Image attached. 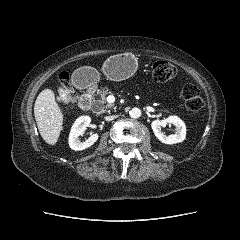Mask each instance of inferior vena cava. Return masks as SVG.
<instances>
[{
    "mask_svg": "<svg viewBox=\"0 0 240 240\" xmlns=\"http://www.w3.org/2000/svg\"><path fill=\"white\" fill-rule=\"evenodd\" d=\"M115 118H116L115 115H112V116H106V117H105V120H106V121H111V120H113V119H115Z\"/></svg>",
    "mask_w": 240,
    "mask_h": 240,
    "instance_id": "inferior-vena-cava-1",
    "label": "inferior vena cava"
}]
</instances>
